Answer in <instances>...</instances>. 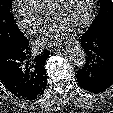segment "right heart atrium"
<instances>
[{
  "label": "right heart atrium",
  "mask_w": 113,
  "mask_h": 113,
  "mask_svg": "<svg viewBox=\"0 0 113 113\" xmlns=\"http://www.w3.org/2000/svg\"><path fill=\"white\" fill-rule=\"evenodd\" d=\"M12 14L18 26L29 35L38 34L45 21L46 16L23 0H14Z\"/></svg>",
  "instance_id": "obj_1"
}]
</instances>
